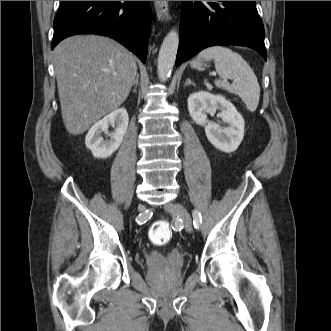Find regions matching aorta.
Listing matches in <instances>:
<instances>
[{
	"label": "aorta",
	"mask_w": 331,
	"mask_h": 331,
	"mask_svg": "<svg viewBox=\"0 0 331 331\" xmlns=\"http://www.w3.org/2000/svg\"><path fill=\"white\" fill-rule=\"evenodd\" d=\"M178 46L179 35L177 31L173 29L164 38L158 55L157 73L161 81H166L171 75Z\"/></svg>",
	"instance_id": "1"
}]
</instances>
